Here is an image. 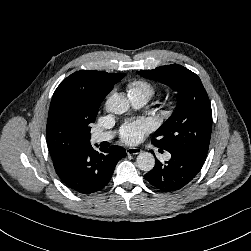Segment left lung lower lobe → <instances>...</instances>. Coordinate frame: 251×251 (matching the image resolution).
I'll list each match as a JSON object with an SVG mask.
<instances>
[{"mask_svg":"<svg viewBox=\"0 0 251 251\" xmlns=\"http://www.w3.org/2000/svg\"><path fill=\"white\" fill-rule=\"evenodd\" d=\"M168 152L171 153V159L165 163L157 160L155 167L144 177L155 188L163 192H174L184 188L194 179L205 158L185 149Z\"/></svg>","mask_w":251,"mask_h":251,"instance_id":"obj_1","label":"left lung lower lobe"}]
</instances>
